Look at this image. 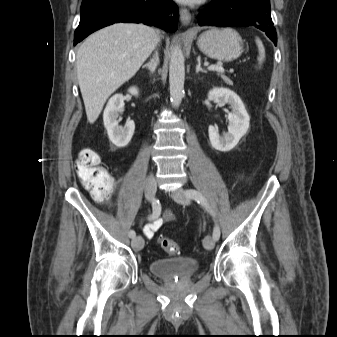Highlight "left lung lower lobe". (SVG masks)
Here are the masks:
<instances>
[{
	"instance_id": "obj_1",
	"label": "left lung lower lobe",
	"mask_w": 337,
	"mask_h": 337,
	"mask_svg": "<svg viewBox=\"0 0 337 337\" xmlns=\"http://www.w3.org/2000/svg\"><path fill=\"white\" fill-rule=\"evenodd\" d=\"M197 18L200 26H254L277 45L269 0H214Z\"/></svg>"
}]
</instances>
